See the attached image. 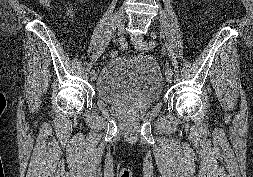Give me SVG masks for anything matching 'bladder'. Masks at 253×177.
<instances>
[{
  "instance_id": "obj_1",
  "label": "bladder",
  "mask_w": 253,
  "mask_h": 177,
  "mask_svg": "<svg viewBox=\"0 0 253 177\" xmlns=\"http://www.w3.org/2000/svg\"><path fill=\"white\" fill-rule=\"evenodd\" d=\"M161 70L153 59L135 55H118L100 71L95 94L107 103L134 100L150 107L163 95Z\"/></svg>"
}]
</instances>
